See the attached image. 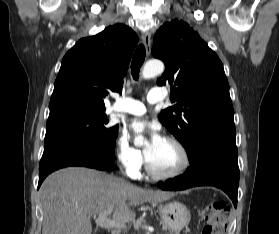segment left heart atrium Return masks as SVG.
<instances>
[{
    "label": "left heart atrium",
    "instance_id": "obj_1",
    "mask_svg": "<svg viewBox=\"0 0 279 234\" xmlns=\"http://www.w3.org/2000/svg\"><path fill=\"white\" fill-rule=\"evenodd\" d=\"M131 127L137 134L147 133L149 136L148 148L152 149L156 147L162 140L159 128L156 124L146 120H136L132 122Z\"/></svg>",
    "mask_w": 279,
    "mask_h": 234
}]
</instances>
